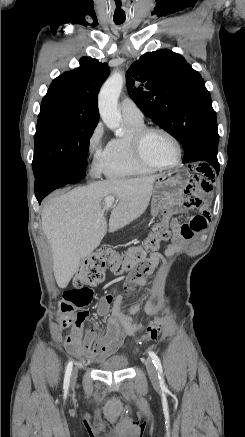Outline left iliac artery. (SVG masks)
Masks as SVG:
<instances>
[{"label":"left iliac artery","mask_w":245,"mask_h":437,"mask_svg":"<svg viewBox=\"0 0 245 437\" xmlns=\"http://www.w3.org/2000/svg\"><path fill=\"white\" fill-rule=\"evenodd\" d=\"M149 356L151 357L154 366L158 370V376H159V382H160L161 388L166 389V385H165L164 378H163V369H162V365H161V361H160L159 357L152 351L149 352Z\"/></svg>","instance_id":"obj_1"}]
</instances>
